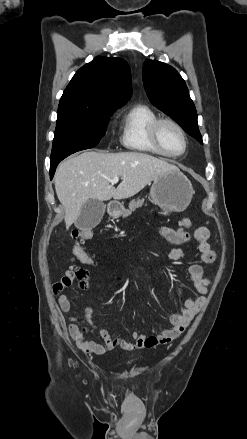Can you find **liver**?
<instances>
[{
  "label": "liver",
  "instance_id": "1",
  "mask_svg": "<svg viewBox=\"0 0 247 439\" xmlns=\"http://www.w3.org/2000/svg\"><path fill=\"white\" fill-rule=\"evenodd\" d=\"M178 170L173 164L139 152L86 151L63 161L55 173V190L65 209L66 228L77 220L89 199H126L160 175ZM114 177L122 179L117 188L110 184Z\"/></svg>",
  "mask_w": 247,
  "mask_h": 439
}]
</instances>
